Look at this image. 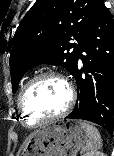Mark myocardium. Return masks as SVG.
Instances as JSON below:
<instances>
[{
  "instance_id": "myocardium-1",
  "label": "myocardium",
  "mask_w": 114,
  "mask_h": 156,
  "mask_svg": "<svg viewBox=\"0 0 114 156\" xmlns=\"http://www.w3.org/2000/svg\"><path fill=\"white\" fill-rule=\"evenodd\" d=\"M49 77L55 78V79L59 80L61 83H63V85L65 86V88L67 90V102H66L64 108L60 112H58L57 114L52 115V116L47 117V118H43V119L37 121L36 123L30 124L26 120L25 112H24L23 107H22V97H23L24 93L27 91V89L32 84H34L36 81L43 79V78H49ZM74 102H75V90H74V87L72 86V84L66 79V77H64L62 74L55 72V71H45V72H41V73L35 75L34 77H32L21 88V90L18 94V98H17V107H18L20 115L22 117L21 119H22L23 124L29 128H35V127H38L44 123L54 121V120H57V119L64 117L71 110Z\"/></svg>"
}]
</instances>
